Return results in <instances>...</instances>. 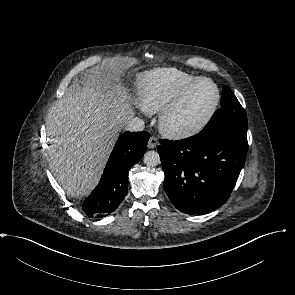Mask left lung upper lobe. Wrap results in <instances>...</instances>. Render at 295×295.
I'll use <instances>...</instances> for the list:
<instances>
[{
    "instance_id": "1",
    "label": "left lung upper lobe",
    "mask_w": 295,
    "mask_h": 295,
    "mask_svg": "<svg viewBox=\"0 0 295 295\" xmlns=\"http://www.w3.org/2000/svg\"><path fill=\"white\" fill-rule=\"evenodd\" d=\"M248 128L246 113L229 87L223 88L221 108L214 113L206 127L201 131L207 133L224 130L247 137Z\"/></svg>"
}]
</instances>
